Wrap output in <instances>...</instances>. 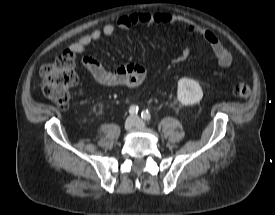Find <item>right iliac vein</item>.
Masks as SVG:
<instances>
[{"label": "right iliac vein", "instance_id": "obj_1", "mask_svg": "<svg viewBox=\"0 0 275 215\" xmlns=\"http://www.w3.org/2000/svg\"><path fill=\"white\" fill-rule=\"evenodd\" d=\"M134 125H135L134 118L133 117H129L125 121L124 128H125V130L128 131V130H131L134 127Z\"/></svg>", "mask_w": 275, "mask_h": 215}]
</instances>
